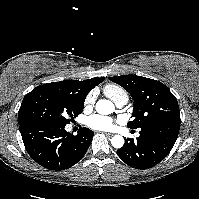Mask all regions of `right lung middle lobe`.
<instances>
[{
	"label": "right lung middle lobe",
	"instance_id": "obj_1",
	"mask_svg": "<svg viewBox=\"0 0 199 199\" xmlns=\"http://www.w3.org/2000/svg\"><path fill=\"white\" fill-rule=\"evenodd\" d=\"M84 100L74 99L57 91L48 92L44 97L28 93L19 109L18 123L20 126L66 125L83 111Z\"/></svg>",
	"mask_w": 199,
	"mask_h": 199
}]
</instances>
